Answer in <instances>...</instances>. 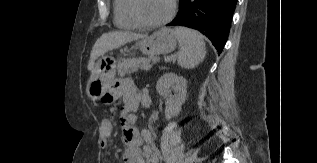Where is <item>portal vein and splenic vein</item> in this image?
Segmentation results:
<instances>
[{
    "mask_svg": "<svg viewBox=\"0 0 317 163\" xmlns=\"http://www.w3.org/2000/svg\"><path fill=\"white\" fill-rule=\"evenodd\" d=\"M145 69L148 70V69H150V67H146Z\"/></svg>",
    "mask_w": 317,
    "mask_h": 163,
    "instance_id": "1",
    "label": "portal vein and splenic vein"
}]
</instances>
